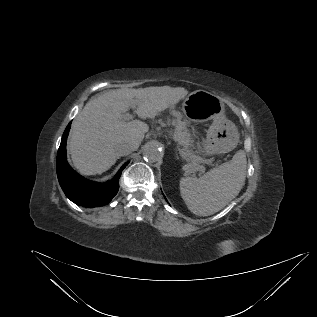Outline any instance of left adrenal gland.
<instances>
[{
  "label": "left adrenal gland",
  "instance_id": "left-adrenal-gland-1",
  "mask_svg": "<svg viewBox=\"0 0 317 317\" xmlns=\"http://www.w3.org/2000/svg\"><path fill=\"white\" fill-rule=\"evenodd\" d=\"M176 156H177V159H178V154H177V151H176Z\"/></svg>",
  "mask_w": 317,
  "mask_h": 317
}]
</instances>
